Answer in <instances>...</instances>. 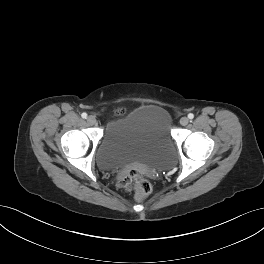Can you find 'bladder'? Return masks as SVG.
<instances>
[{"instance_id":"1","label":"bladder","mask_w":264,"mask_h":264,"mask_svg":"<svg viewBox=\"0 0 264 264\" xmlns=\"http://www.w3.org/2000/svg\"><path fill=\"white\" fill-rule=\"evenodd\" d=\"M165 110L142 106L108 128L97 149L101 170L114 171L132 165L164 168L174 158Z\"/></svg>"}]
</instances>
